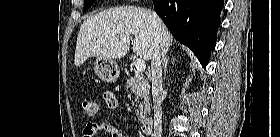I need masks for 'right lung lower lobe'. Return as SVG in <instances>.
<instances>
[{"instance_id": "right-lung-lower-lobe-1", "label": "right lung lower lobe", "mask_w": 280, "mask_h": 137, "mask_svg": "<svg viewBox=\"0 0 280 137\" xmlns=\"http://www.w3.org/2000/svg\"><path fill=\"white\" fill-rule=\"evenodd\" d=\"M153 3L173 36L206 66L216 44L224 0H153Z\"/></svg>"}]
</instances>
